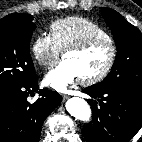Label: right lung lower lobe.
<instances>
[{"instance_id":"obj_1","label":"right lung lower lobe","mask_w":142,"mask_h":142,"mask_svg":"<svg viewBox=\"0 0 142 142\" xmlns=\"http://www.w3.org/2000/svg\"><path fill=\"white\" fill-rule=\"evenodd\" d=\"M39 89L38 77L24 86L0 94V142H39L44 120L61 103L57 92L40 90L30 104L29 94Z\"/></svg>"}]
</instances>
